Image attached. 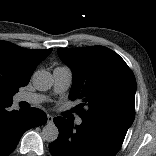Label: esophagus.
<instances>
[{
  "mask_svg": "<svg viewBox=\"0 0 156 156\" xmlns=\"http://www.w3.org/2000/svg\"><path fill=\"white\" fill-rule=\"evenodd\" d=\"M53 122V117L51 115H47V123L51 124Z\"/></svg>",
  "mask_w": 156,
  "mask_h": 156,
  "instance_id": "34e87169",
  "label": "esophagus"
}]
</instances>
